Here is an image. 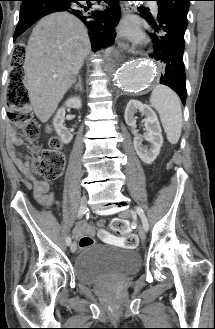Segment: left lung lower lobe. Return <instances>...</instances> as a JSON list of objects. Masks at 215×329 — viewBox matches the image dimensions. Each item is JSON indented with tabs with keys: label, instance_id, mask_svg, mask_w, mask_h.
I'll list each match as a JSON object with an SVG mask.
<instances>
[{
	"label": "left lung lower lobe",
	"instance_id": "0a47b994",
	"mask_svg": "<svg viewBox=\"0 0 215 329\" xmlns=\"http://www.w3.org/2000/svg\"><path fill=\"white\" fill-rule=\"evenodd\" d=\"M146 18L154 30L149 34L153 41V56L165 69L160 83L172 88L185 105L186 77L183 52L187 26L162 11H158L156 19L151 15H146Z\"/></svg>",
	"mask_w": 215,
	"mask_h": 329
}]
</instances>
